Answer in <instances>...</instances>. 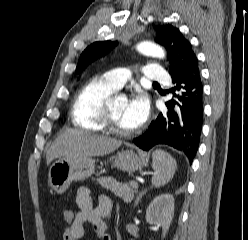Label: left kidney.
Segmentation results:
<instances>
[{
	"label": "left kidney",
	"mask_w": 248,
	"mask_h": 240,
	"mask_svg": "<svg viewBox=\"0 0 248 240\" xmlns=\"http://www.w3.org/2000/svg\"><path fill=\"white\" fill-rule=\"evenodd\" d=\"M174 208V197L162 194L155 197L146 210V221L151 225L162 226L163 238L172 222Z\"/></svg>",
	"instance_id": "1"
}]
</instances>
